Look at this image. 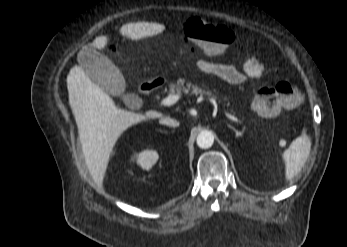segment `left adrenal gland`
Segmentation results:
<instances>
[{
  "mask_svg": "<svg viewBox=\"0 0 347 247\" xmlns=\"http://www.w3.org/2000/svg\"><path fill=\"white\" fill-rule=\"evenodd\" d=\"M228 127H229L230 129H232V130L235 132L237 138H239L240 136H242V133L239 132L235 127L231 126L230 124L228 125Z\"/></svg>",
  "mask_w": 347,
  "mask_h": 247,
  "instance_id": "a2214340",
  "label": "left adrenal gland"
}]
</instances>
